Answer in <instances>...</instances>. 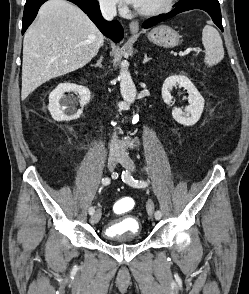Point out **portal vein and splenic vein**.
<instances>
[{
	"label": "portal vein and splenic vein",
	"instance_id": "obj_1",
	"mask_svg": "<svg viewBox=\"0 0 249 294\" xmlns=\"http://www.w3.org/2000/svg\"><path fill=\"white\" fill-rule=\"evenodd\" d=\"M191 51H192V49H188V50H186L184 52L179 53V55L183 57V56L188 55Z\"/></svg>",
	"mask_w": 249,
	"mask_h": 294
}]
</instances>
